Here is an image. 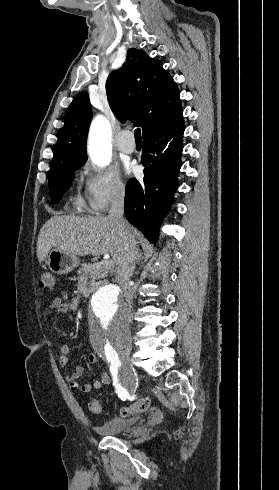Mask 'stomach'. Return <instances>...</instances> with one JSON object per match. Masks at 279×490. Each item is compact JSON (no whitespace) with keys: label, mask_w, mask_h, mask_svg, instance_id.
Returning <instances> with one entry per match:
<instances>
[{"label":"stomach","mask_w":279,"mask_h":490,"mask_svg":"<svg viewBox=\"0 0 279 490\" xmlns=\"http://www.w3.org/2000/svg\"><path fill=\"white\" fill-rule=\"evenodd\" d=\"M46 264L54 274L63 276V274H69L72 270H75L79 264V258L74 254H67L63 250H51L47 256Z\"/></svg>","instance_id":"1"}]
</instances>
